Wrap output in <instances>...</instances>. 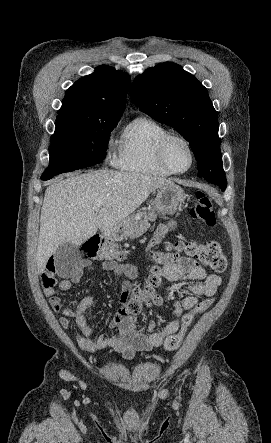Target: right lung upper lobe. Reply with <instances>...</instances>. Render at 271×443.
I'll return each instance as SVG.
<instances>
[{
	"instance_id": "cb5924a9",
	"label": "right lung upper lobe",
	"mask_w": 271,
	"mask_h": 443,
	"mask_svg": "<svg viewBox=\"0 0 271 443\" xmlns=\"http://www.w3.org/2000/svg\"><path fill=\"white\" fill-rule=\"evenodd\" d=\"M129 84L128 74L108 65L98 66L66 91L61 108L88 118L121 117Z\"/></svg>"
}]
</instances>
